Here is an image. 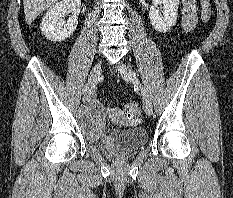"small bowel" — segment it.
Here are the masks:
<instances>
[{"label":"small bowel","instance_id":"obj_1","mask_svg":"<svg viewBox=\"0 0 233 198\" xmlns=\"http://www.w3.org/2000/svg\"><path fill=\"white\" fill-rule=\"evenodd\" d=\"M197 24V11L195 0H182V29L189 32Z\"/></svg>","mask_w":233,"mask_h":198}]
</instances>
